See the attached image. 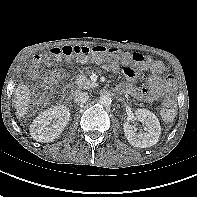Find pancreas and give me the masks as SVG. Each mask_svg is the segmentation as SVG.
I'll return each instance as SVG.
<instances>
[{
	"mask_svg": "<svg viewBox=\"0 0 197 197\" xmlns=\"http://www.w3.org/2000/svg\"><path fill=\"white\" fill-rule=\"evenodd\" d=\"M74 84L77 89H90L97 85L90 81L85 75H77Z\"/></svg>",
	"mask_w": 197,
	"mask_h": 197,
	"instance_id": "obj_1",
	"label": "pancreas"
}]
</instances>
